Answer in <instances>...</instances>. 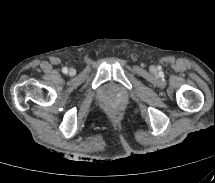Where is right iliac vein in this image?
Wrapping results in <instances>:
<instances>
[{
    "mask_svg": "<svg viewBox=\"0 0 215 183\" xmlns=\"http://www.w3.org/2000/svg\"><path fill=\"white\" fill-rule=\"evenodd\" d=\"M75 73H76L75 69L71 68V69L69 70V74H70L71 76L75 75Z\"/></svg>",
    "mask_w": 215,
    "mask_h": 183,
    "instance_id": "obj_1",
    "label": "right iliac vein"
}]
</instances>
